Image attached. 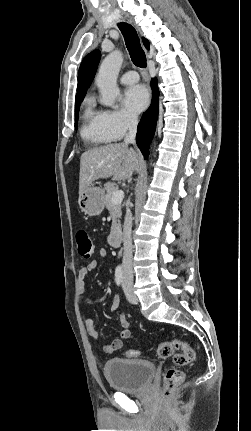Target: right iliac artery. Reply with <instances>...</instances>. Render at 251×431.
Listing matches in <instances>:
<instances>
[{"mask_svg":"<svg viewBox=\"0 0 251 431\" xmlns=\"http://www.w3.org/2000/svg\"><path fill=\"white\" fill-rule=\"evenodd\" d=\"M123 281V271L121 267H117L115 270V282L117 285H121Z\"/></svg>","mask_w":251,"mask_h":431,"instance_id":"obj_1","label":"right iliac artery"}]
</instances>
